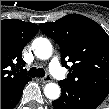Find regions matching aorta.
I'll return each mask as SVG.
<instances>
[{
  "instance_id": "1",
  "label": "aorta",
  "mask_w": 109,
  "mask_h": 109,
  "mask_svg": "<svg viewBox=\"0 0 109 109\" xmlns=\"http://www.w3.org/2000/svg\"><path fill=\"white\" fill-rule=\"evenodd\" d=\"M32 50L36 57L47 60L52 56L53 48L51 42L43 37L36 38L32 42ZM61 89L56 83H48L44 87V94L50 100H56L60 97Z\"/></svg>"
}]
</instances>
